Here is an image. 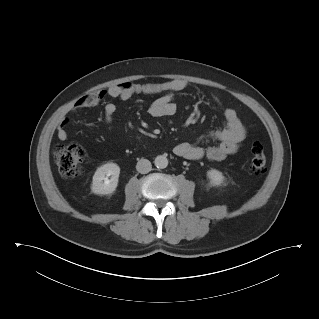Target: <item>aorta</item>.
Masks as SVG:
<instances>
[{
    "mask_svg": "<svg viewBox=\"0 0 319 319\" xmlns=\"http://www.w3.org/2000/svg\"><path fill=\"white\" fill-rule=\"evenodd\" d=\"M154 164L159 169H164L168 166V159L164 155H159L155 158Z\"/></svg>",
    "mask_w": 319,
    "mask_h": 319,
    "instance_id": "1",
    "label": "aorta"
}]
</instances>
